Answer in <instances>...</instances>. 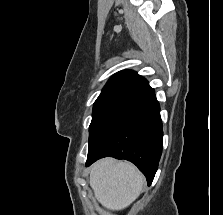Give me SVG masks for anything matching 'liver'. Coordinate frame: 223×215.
<instances>
[{
  "label": "liver",
  "instance_id": "6515ba94",
  "mask_svg": "<svg viewBox=\"0 0 223 215\" xmlns=\"http://www.w3.org/2000/svg\"><path fill=\"white\" fill-rule=\"evenodd\" d=\"M144 181V175L133 163L105 157L94 163L89 183L104 207L124 209L141 193Z\"/></svg>",
  "mask_w": 223,
  "mask_h": 215
}]
</instances>
